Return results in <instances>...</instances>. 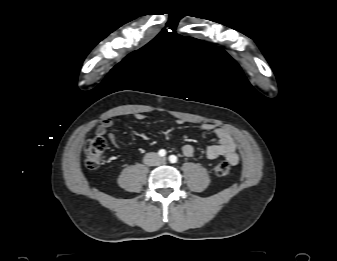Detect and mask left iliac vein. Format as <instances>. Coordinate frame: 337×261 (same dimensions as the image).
I'll return each instance as SVG.
<instances>
[{
    "instance_id": "4c4485c4",
    "label": "left iliac vein",
    "mask_w": 337,
    "mask_h": 261,
    "mask_svg": "<svg viewBox=\"0 0 337 261\" xmlns=\"http://www.w3.org/2000/svg\"><path fill=\"white\" fill-rule=\"evenodd\" d=\"M165 160H166L165 158H162V159H161V161H163V162H164Z\"/></svg>"
}]
</instances>
